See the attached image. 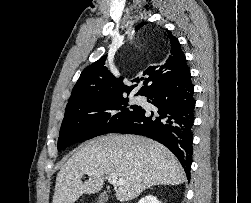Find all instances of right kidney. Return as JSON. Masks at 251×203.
Segmentation results:
<instances>
[{
	"label": "right kidney",
	"mask_w": 251,
	"mask_h": 203,
	"mask_svg": "<svg viewBox=\"0 0 251 203\" xmlns=\"http://www.w3.org/2000/svg\"><path fill=\"white\" fill-rule=\"evenodd\" d=\"M138 203H161L155 196L148 195L139 200Z\"/></svg>",
	"instance_id": "right-kidney-1"
}]
</instances>
